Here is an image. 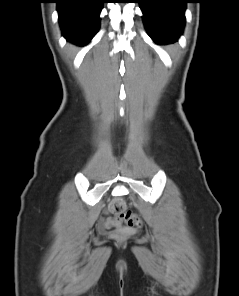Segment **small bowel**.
<instances>
[{
    "label": "small bowel",
    "mask_w": 239,
    "mask_h": 296,
    "mask_svg": "<svg viewBox=\"0 0 239 296\" xmlns=\"http://www.w3.org/2000/svg\"><path fill=\"white\" fill-rule=\"evenodd\" d=\"M106 224L109 225V226L115 225L114 220H111V219H107Z\"/></svg>",
    "instance_id": "obj_1"
}]
</instances>
